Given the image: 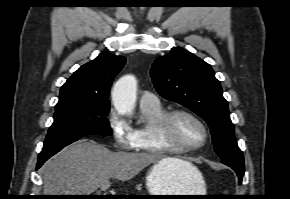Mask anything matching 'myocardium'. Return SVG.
Here are the masks:
<instances>
[{
	"label": "myocardium",
	"instance_id": "1",
	"mask_svg": "<svg viewBox=\"0 0 290 199\" xmlns=\"http://www.w3.org/2000/svg\"><path fill=\"white\" fill-rule=\"evenodd\" d=\"M177 116H187L195 120L201 126L203 130V140L200 144L187 147L182 146L169 138L172 120ZM155 136L157 141L162 144L167 150L173 151L175 153L184 154L197 151L204 147L209 139V131L204 121L197 114L186 109H175L166 112V114L160 120H158L155 126Z\"/></svg>",
	"mask_w": 290,
	"mask_h": 199
}]
</instances>
